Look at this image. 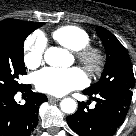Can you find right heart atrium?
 <instances>
[{
	"instance_id": "obj_1",
	"label": "right heart atrium",
	"mask_w": 136,
	"mask_h": 136,
	"mask_svg": "<svg viewBox=\"0 0 136 136\" xmlns=\"http://www.w3.org/2000/svg\"><path fill=\"white\" fill-rule=\"evenodd\" d=\"M46 49V39L43 34L35 32L24 43V63L30 68L38 67L43 60Z\"/></svg>"
}]
</instances>
